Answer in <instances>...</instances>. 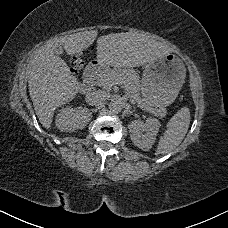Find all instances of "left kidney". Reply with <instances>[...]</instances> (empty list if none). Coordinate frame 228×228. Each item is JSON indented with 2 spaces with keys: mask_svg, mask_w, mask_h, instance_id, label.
Here are the masks:
<instances>
[{
  "mask_svg": "<svg viewBox=\"0 0 228 228\" xmlns=\"http://www.w3.org/2000/svg\"><path fill=\"white\" fill-rule=\"evenodd\" d=\"M159 126L156 119H148L145 123L142 120L131 121L128 129L132 142L141 150L151 149Z\"/></svg>",
  "mask_w": 228,
  "mask_h": 228,
  "instance_id": "5707ae66",
  "label": "left kidney"
}]
</instances>
